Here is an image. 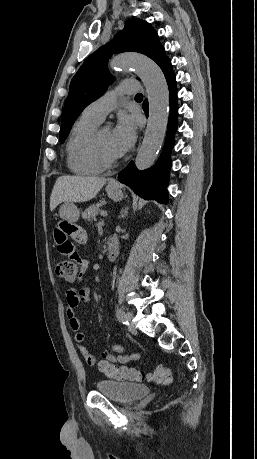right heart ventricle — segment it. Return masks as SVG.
Segmentation results:
<instances>
[{"label": "right heart ventricle", "mask_w": 257, "mask_h": 459, "mask_svg": "<svg viewBox=\"0 0 257 459\" xmlns=\"http://www.w3.org/2000/svg\"><path fill=\"white\" fill-rule=\"evenodd\" d=\"M100 121L82 114L75 122L66 145L68 168L77 175H96L103 171L91 151V142Z\"/></svg>", "instance_id": "1"}]
</instances>
